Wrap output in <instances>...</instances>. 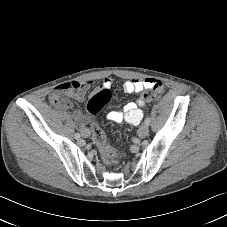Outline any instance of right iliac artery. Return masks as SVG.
<instances>
[{
    "mask_svg": "<svg viewBox=\"0 0 227 227\" xmlns=\"http://www.w3.org/2000/svg\"><path fill=\"white\" fill-rule=\"evenodd\" d=\"M74 137H75V139H79V138H80V134H79V133H76V134L74 135Z\"/></svg>",
    "mask_w": 227,
    "mask_h": 227,
    "instance_id": "82829eb1",
    "label": "right iliac artery"
}]
</instances>
